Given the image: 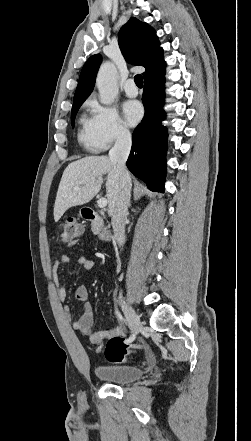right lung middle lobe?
I'll return each mask as SVG.
<instances>
[{
    "mask_svg": "<svg viewBox=\"0 0 251 441\" xmlns=\"http://www.w3.org/2000/svg\"><path fill=\"white\" fill-rule=\"evenodd\" d=\"M84 101L85 100H79V101L73 102L72 113H71V124H72V126H74V121H75V117H76L77 111L79 110L80 106L83 104Z\"/></svg>",
    "mask_w": 251,
    "mask_h": 441,
    "instance_id": "right-lung-middle-lobe-1",
    "label": "right lung middle lobe"
}]
</instances>
